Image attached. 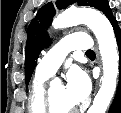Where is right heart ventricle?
<instances>
[{"instance_id":"1","label":"right heart ventricle","mask_w":121,"mask_h":113,"mask_svg":"<svg viewBox=\"0 0 121 113\" xmlns=\"http://www.w3.org/2000/svg\"><path fill=\"white\" fill-rule=\"evenodd\" d=\"M49 76L36 72L28 102V108L34 112L47 110L45 105V82Z\"/></svg>"}]
</instances>
